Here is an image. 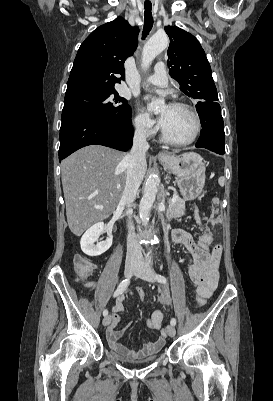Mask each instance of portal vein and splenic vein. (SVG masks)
Here are the masks:
<instances>
[{
	"instance_id": "portal-vein-and-splenic-vein-1",
	"label": "portal vein and splenic vein",
	"mask_w": 273,
	"mask_h": 401,
	"mask_svg": "<svg viewBox=\"0 0 273 401\" xmlns=\"http://www.w3.org/2000/svg\"><path fill=\"white\" fill-rule=\"evenodd\" d=\"M179 198V195L175 194V196H172L170 199V205H173L175 201H177ZM96 209H103V205H96Z\"/></svg>"
}]
</instances>
